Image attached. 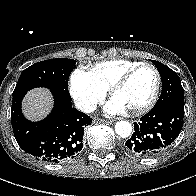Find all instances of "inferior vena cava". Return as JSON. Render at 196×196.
<instances>
[{
	"label": "inferior vena cava",
	"mask_w": 196,
	"mask_h": 196,
	"mask_svg": "<svg viewBox=\"0 0 196 196\" xmlns=\"http://www.w3.org/2000/svg\"><path fill=\"white\" fill-rule=\"evenodd\" d=\"M77 109L85 113H90L96 110V104L87 100H79L75 102Z\"/></svg>",
	"instance_id": "obj_1"
}]
</instances>
